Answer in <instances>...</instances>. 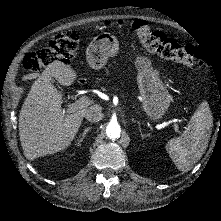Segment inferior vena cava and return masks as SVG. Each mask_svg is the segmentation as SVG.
I'll return each instance as SVG.
<instances>
[{"label":"inferior vena cava","instance_id":"1","mask_svg":"<svg viewBox=\"0 0 221 221\" xmlns=\"http://www.w3.org/2000/svg\"><path fill=\"white\" fill-rule=\"evenodd\" d=\"M84 117L89 122H99L104 118V113L100 109H91L89 112L84 114Z\"/></svg>","mask_w":221,"mask_h":221}]
</instances>
